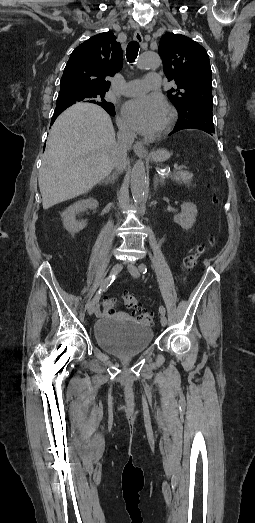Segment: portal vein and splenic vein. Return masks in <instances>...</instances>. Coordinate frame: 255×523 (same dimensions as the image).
I'll return each instance as SVG.
<instances>
[{
    "mask_svg": "<svg viewBox=\"0 0 255 523\" xmlns=\"http://www.w3.org/2000/svg\"><path fill=\"white\" fill-rule=\"evenodd\" d=\"M175 172H179L180 174L186 173L185 166H181L180 168H175Z\"/></svg>",
    "mask_w": 255,
    "mask_h": 523,
    "instance_id": "1",
    "label": "portal vein and splenic vein"
}]
</instances>
